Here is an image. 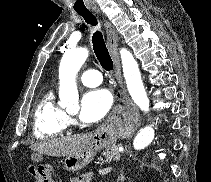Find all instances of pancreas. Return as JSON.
<instances>
[{
  "instance_id": "pancreas-1",
  "label": "pancreas",
  "mask_w": 211,
  "mask_h": 182,
  "mask_svg": "<svg viewBox=\"0 0 211 182\" xmlns=\"http://www.w3.org/2000/svg\"><path fill=\"white\" fill-rule=\"evenodd\" d=\"M118 145H113L110 148H107L105 151L102 152V155L99 157L101 162L110 163L114 160H119L121 154L118 150Z\"/></svg>"
}]
</instances>
